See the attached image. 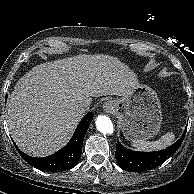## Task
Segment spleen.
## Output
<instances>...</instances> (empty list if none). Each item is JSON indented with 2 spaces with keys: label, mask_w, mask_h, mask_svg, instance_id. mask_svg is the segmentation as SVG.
I'll use <instances>...</instances> for the list:
<instances>
[{
  "label": "spleen",
  "mask_w": 194,
  "mask_h": 194,
  "mask_svg": "<svg viewBox=\"0 0 194 194\" xmlns=\"http://www.w3.org/2000/svg\"><path fill=\"white\" fill-rule=\"evenodd\" d=\"M175 135L172 132H167L159 140L156 141H145L142 139H134L132 145L137 150L153 151L163 149L173 143Z\"/></svg>",
  "instance_id": "1"
}]
</instances>
